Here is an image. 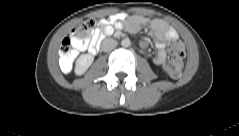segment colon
<instances>
[{"label":"colon","mask_w":239,"mask_h":136,"mask_svg":"<svg viewBox=\"0 0 239 136\" xmlns=\"http://www.w3.org/2000/svg\"><path fill=\"white\" fill-rule=\"evenodd\" d=\"M96 25L94 18L78 24L70 36L63 39L59 48V63L63 70L68 71L75 55V43L89 38ZM185 47L182 42H174L170 46V56L164 65L165 72L172 78H177L183 71Z\"/></svg>","instance_id":"colon-1"}]
</instances>
